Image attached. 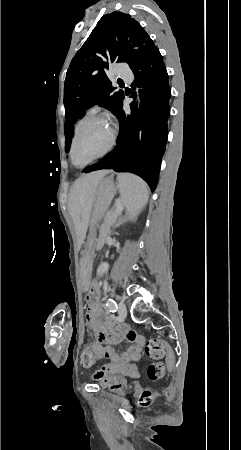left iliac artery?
Segmentation results:
<instances>
[{
  "label": "left iliac artery",
  "instance_id": "left-iliac-artery-1",
  "mask_svg": "<svg viewBox=\"0 0 241 450\" xmlns=\"http://www.w3.org/2000/svg\"><path fill=\"white\" fill-rule=\"evenodd\" d=\"M106 306L109 309L110 312H116L117 311V304L112 298H108L106 302Z\"/></svg>",
  "mask_w": 241,
  "mask_h": 450
}]
</instances>
